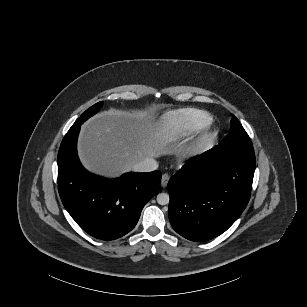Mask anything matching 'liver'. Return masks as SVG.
<instances>
[{
	"label": "liver",
	"instance_id": "1",
	"mask_svg": "<svg viewBox=\"0 0 307 307\" xmlns=\"http://www.w3.org/2000/svg\"><path fill=\"white\" fill-rule=\"evenodd\" d=\"M173 104L114 108L98 112L80 130L77 155L89 173L116 179L131 172L147 158L175 156L185 142L166 139L162 126L155 122L164 108Z\"/></svg>",
	"mask_w": 307,
	"mask_h": 307
}]
</instances>
